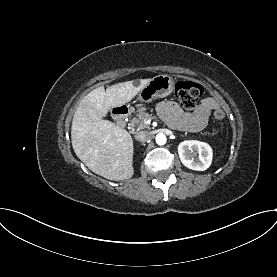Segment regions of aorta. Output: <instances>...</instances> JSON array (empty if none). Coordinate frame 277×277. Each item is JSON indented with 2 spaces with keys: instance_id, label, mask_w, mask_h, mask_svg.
Masks as SVG:
<instances>
[{
  "instance_id": "1",
  "label": "aorta",
  "mask_w": 277,
  "mask_h": 277,
  "mask_svg": "<svg viewBox=\"0 0 277 277\" xmlns=\"http://www.w3.org/2000/svg\"><path fill=\"white\" fill-rule=\"evenodd\" d=\"M156 143L158 145H164L166 143V136L162 133L156 135Z\"/></svg>"
}]
</instances>
